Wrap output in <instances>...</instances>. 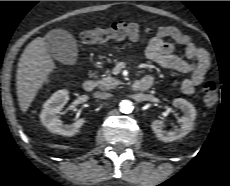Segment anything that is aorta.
Segmentation results:
<instances>
[{"label": "aorta", "mask_w": 230, "mask_h": 186, "mask_svg": "<svg viewBox=\"0 0 230 186\" xmlns=\"http://www.w3.org/2000/svg\"><path fill=\"white\" fill-rule=\"evenodd\" d=\"M120 111L122 113H131L134 109L133 103L129 100H122L119 104Z\"/></svg>", "instance_id": "1"}]
</instances>
